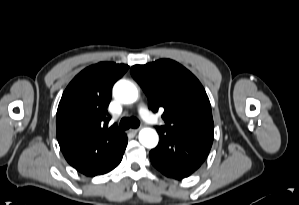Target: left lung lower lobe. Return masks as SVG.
I'll return each mask as SVG.
<instances>
[{
  "instance_id": "obj_1",
  "label": "left lung lower lobe",
  "mask_w": 299,
  "mask_h": 205,
  "mask_svg": "<svg viewBox=\"0 0 299 205\" xmlns=\"http://www.w3.org/2000/svg\"><path fill=\"white\" fill-rule=\"evenodd\" d=\"M160 141L150 151L152 165L167 177L183 179L190 176L204 162L213 138L186 133L158 131Z\"/></svg>"
}]
</instances>
